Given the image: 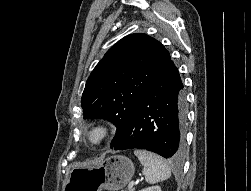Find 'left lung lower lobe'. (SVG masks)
<instances>
[{
    "instance_id": "left-lung-lower-lobe-1",
    "label": "left lung lower lobe",
    "mask_w": 251,
    "mask_h": 191,
    "mask_svg": "<svg viewBox=\"0 0 251 191\" xmlns=\"http://www.w3.org/2000/svg\"><path fill=\"white\" fill-rule=\"evenodd\" d=\"M183 84L172 60L136 107L115 150L145 149L165 158L183 150L185 100Z\"/></svg>"
}]
</instances>
